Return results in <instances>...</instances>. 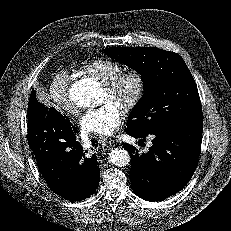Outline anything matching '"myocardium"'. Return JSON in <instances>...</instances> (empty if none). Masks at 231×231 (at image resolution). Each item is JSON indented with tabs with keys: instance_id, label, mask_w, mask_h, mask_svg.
Returning <instances> with one entry per match:
<instances>
[{
	"instance_id": "1",
	"label": "myocardium",
	"mask_w": 231,
	"mask_h": 231,
	"mask_svg": "<svg viewBox=\"0 0 231 231\" xmlns=\"http://www.w3.org/2000/svg\"><path fill=\"white\" fill-rule=\"evenodd\" d=\"M129 81L134 82L135 88L132 94L120 104V107L124 112H130L134 110L143 99L148 86L146 76L138 70H131L121 73L110 83L103 85L104 90L110 97L119 98L123 87Z\"/></svg>"
}]
</instances>
